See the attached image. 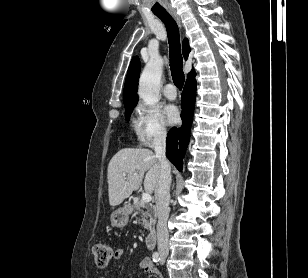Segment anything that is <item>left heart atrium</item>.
I'll list each match as a JSON object with an SVG mask.
<instances>
[{"mask_svg":"<svg viewBox=\"0 0 308 278\" xmlns=\"http://www.w3.org/2000/svg\"><path fill=\"white\" fill-rule=\"evenodd\" d=\"M164 112H165L166 119L170 124H175L179 121L180 113L176 106L167 105L165 107Z\"/></svg>","mask_w":308,"mask_h":278,"instance_id":"obj_1","label":"left heart atrium"}]
</instances>
